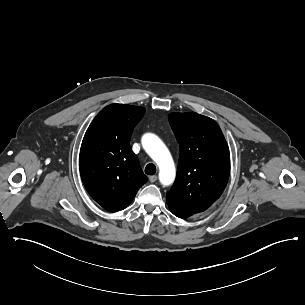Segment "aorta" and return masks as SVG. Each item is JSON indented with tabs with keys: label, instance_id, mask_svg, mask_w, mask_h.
Masks as SVG:
<instances>
[{
	"label": "aorta",
	"instance_id": "762f6f07",
	"mask_svg": "<svg viewBox=\"0 0 305 305\" xmlns=\"http://www.w3.org/2000/svg\"><path fill=\"white\" fill-rule=\"evenodd\" d=\"M142 146L148 155L159 167V180L164 186H168L175 180V165L172 156L161 141V139L151 133L142 137Z\"/></svg>",
	"mask_w": 305,
	"mask_h": 305
}]
</instances>
